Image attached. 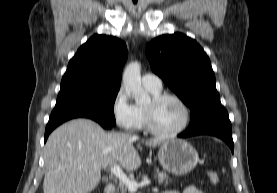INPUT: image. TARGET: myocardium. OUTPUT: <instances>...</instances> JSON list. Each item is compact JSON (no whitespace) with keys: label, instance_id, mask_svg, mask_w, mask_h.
Returning <instances> with one entry per match:
<instances>
[{"label":"myocardium","instance_id":"myocardium-1","mask_svg":"<svg viewBox=\"0 0 277 193\" xmlns=\"http://www.w3.org/2000/svg\"><path fill=\"white\" fill-rule=\"evenodd\" d=\"M166 99H173L176 102H178L181 107L184 110L185 118L182 123V125L173 130V131H162L160 130L156 124H155V119H154V108L161 103L162 101ZM151 105L149 107H144V116H145V122H146V128L147 130L152 133L153 135H156L158 137H163V138H172L176 137L182 132H184L187 127L189 126L190 120H191V111L188 106V104L177 94L174 93H159L156 95H153L151 98Z\"/></svg>","mask_w":277,"mask_h":193}]
</instances>
